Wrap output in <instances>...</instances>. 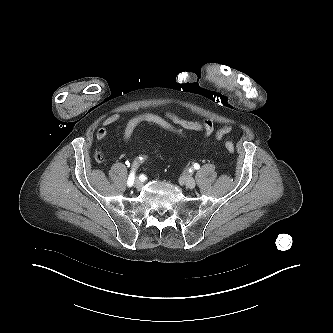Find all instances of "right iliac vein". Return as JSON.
Listing matches in <instances>:
<instances>
[{
    "label": "right iliac vein",
    "instance_id": "1",
    "mask_svg": "<svg viewBox=\"0 0 333 333\" xmlns=\"http://www.w3.org/2000/svg\"><path fill=\"white\" fill-rule=\"evenodd\" d=\"M141 185H142L141 181L138 178H135V180H134V186L136 188H140Z\"/></svg>",
    "mask_w": 333,
    "mask_h": 333
}]
</instances>
